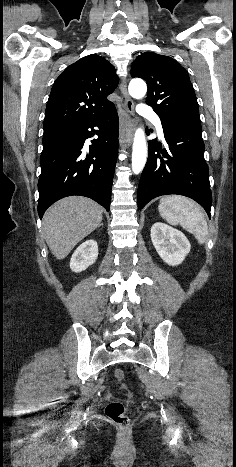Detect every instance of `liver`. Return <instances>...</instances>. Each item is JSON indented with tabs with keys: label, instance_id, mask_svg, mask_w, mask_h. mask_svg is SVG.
<instances>
[{
	"label": "liver",
	"instance_id": "1",
	"mask_svg": "<svg viewBox=\"0 0 236 467\" xmlns=\"http://www.w3.org/2000/svg\"><path fill=\"white\" fill-rule=\"evenodd\" d=\"M102 207L82 196H70L53 204L44 214L43 233L52 254L64 259L102 221Z\"/></svg>",
	"mask_w": 236,
	"mask_h": 467
}]
</instances>
